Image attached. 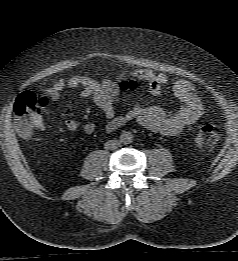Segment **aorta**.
<instances>
[{
  "mask_svg": "<svg viewBox=\"0 0 238 261\" xmlns=\"http://www.w3.org/2000/svg\"><path fill=\"white\" fill-rule=\"evenodd\" d=\"M133 134L129 131H124L121 136L120 140L123 144H130L133 142Z\"/></svg>",
  "mask_w": 238,
  "mask_h": 261,
  "instance_id": "aorta-1",
  "label": "aorta"
}]
</instances>
